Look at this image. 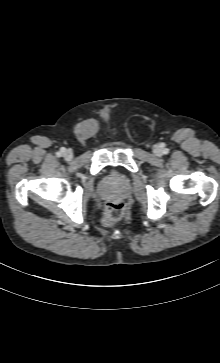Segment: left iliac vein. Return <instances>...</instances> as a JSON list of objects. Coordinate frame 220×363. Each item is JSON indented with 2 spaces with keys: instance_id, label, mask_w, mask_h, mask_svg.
<instances>
[{
  "instance_id": "4c4485c4",
  "label": "left iliac vein",
  "mask_w": 220,
  "mask_h": 363,
  "mask_svg": "<svg viewBox=\"0 0 220 363\" xmlns=\"http://www.w3.org/2000/svg\"><path fill=\"white\" fill-rule=\"evenodd\" d=\"M154 153L156 154V155H161V153H162V148L159 146V145H156L155 147H154Z\"/></svg>"
}]
</instances>
